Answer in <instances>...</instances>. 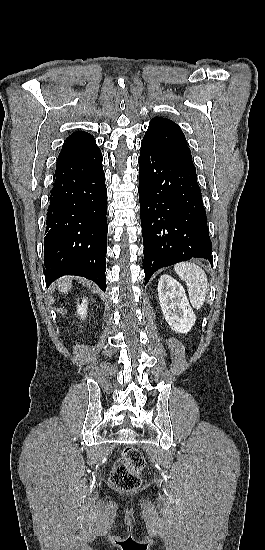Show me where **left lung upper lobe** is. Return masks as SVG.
<instances>
[{
	"instance_id": "5c2ea615",
	"label": "left lung upper lobe",
	"mask_w": 265,
	"mask_h": 550,
	"mask_svg": "<svg viewBox=\"0 0 265 550\" xmlns=\"http://www.w3.org/2000/svg\"><path fill=\"white\" fill-rule=\"evenodd\" d=\"M142 143L161 150L195 168L181 128L169 119L153 118L149 123Z\"/></svg>"
}]
</instances>
